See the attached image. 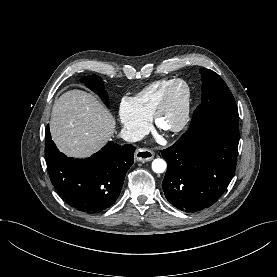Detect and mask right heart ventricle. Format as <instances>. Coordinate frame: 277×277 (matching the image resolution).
<instances>
[{
  "label": "right heart ventricle",
  "instance_id": "e07e8e85",
  "mask_svg": "<svg viewBox=\"0 0 277 277\" xmlns=\"http://www.w3.org/2000/svg\"><path fill=\"white\" fill-rule=\"evenodd\" d=\"M172 81L173 79L158 80L138 92L133 98H131L136 111L144 118L150 119L162 93Z\"/></svg>",
  "mask_w": 277,
  "mask_h": 277
}]
</instances>
